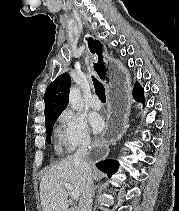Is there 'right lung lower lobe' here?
Segmentation results:
<instances>
[{
  "label": "right lung lower lobe",
  "instance_id": "right-lung-lower-lobe-1",
  "mask_svg": "<svg viewBox=\"0 0 179 211\" xmlns=\"http://www.w3.org/2000/svg\"><path fill=\"white\" fill-rule=\"evenodd\" d=\"M143 89L140 87V85L136 82L133 90V97L137 102H144L143 97ZM97 168L103 172H105L109 177H111L112 174H114L118 169V162L115 160H104L101 162H98L96 164Z\"/></svg>",
  "mask_w": 179,
  "mask_h": 211
}]
</instances>
